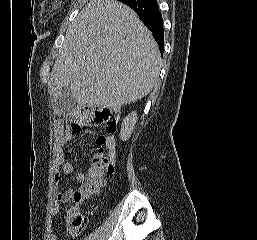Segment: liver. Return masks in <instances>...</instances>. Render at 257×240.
<instances>
[{"mask_svg":"<svg viewBox=\"0 0 257 240\" xmlns=\"http://www.w3.org/2000/svg\"><path fill=\"white\" fill-rule=\"evenodd\" d=\"M161 56L137 14L116 0H91L68 28L49 81L55 102L65 89L78 107L116 113L150 93Z\"/></svg>","mask_w":257,"mask_h":240,"instance_id":"6515ba94","label":"liver"}]
</instances>
